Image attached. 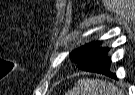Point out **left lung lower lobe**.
Wrapping results in <instances>:
<instances>
[{
  "label": "left lung lower lobe",
  "mask_w": 135,
  "mask_h": 95,
  "mask_svg": "<svg viewBox=\"0 0 135 95\" xmlns=\"http://www.w3.org/2000/svg\"><path fill=\"white\" fill-rule=\"evenodd\" d=\"M107 53V47H98L96 51L88 57L81 69L84 71L96 72L112 78H116V75L114 73H111L109 70L111 61L110 58L107 56Z\"/></svg>",
  "instance_id": "1"
}]
</instances>
